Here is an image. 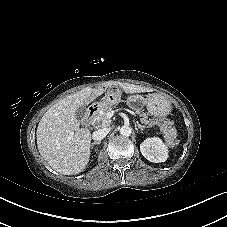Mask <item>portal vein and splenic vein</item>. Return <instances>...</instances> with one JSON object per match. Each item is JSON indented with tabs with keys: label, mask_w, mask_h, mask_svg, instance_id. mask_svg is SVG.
Segmentation results:
<instances>
[{
	"label": "portal vein and splenic vein",
	"mask_w": 227,
	"mask_h": 227,
	"mask_svg": "<svg viewBox=\"0 0 227 227\" xmlns=\"http://www.w3.org/2000/svg\"><path fill=\"white\" fill-rule=\"evenodd\" d=\"M115 111H110L107 114V117L110 119L114 115Z\"/></svg>",
	"instance_id": "obj_1"
}]
</instances>
